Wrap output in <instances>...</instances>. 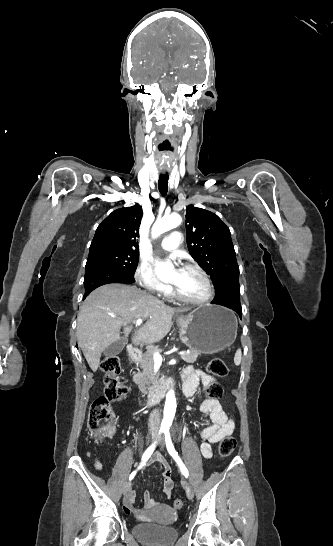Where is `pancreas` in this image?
Listing matches in <instances>:
<instances>
[{
    "instance_id": "1",
    "label": "pancreas",
    "mask_w": 333,
    "mask_h": 546,
    "mask_svg": "<svg viewBox=\"0 0 333 546\" xmlns=\"http://www.w3.org/2000/svg\"><path fill=\"white\" fill-rule=\"evenodd\" d=\"M154 352H162V349L150 347L143 354L142 359L140 360V368L142 372H138L133 376V381L138 385L140 391L145 392L147 386L152 382L154 378ZM200 355L199 351H191L184 355H181V358L187 363H194L198 356Z\"/></svg>"
}]
</instances>
